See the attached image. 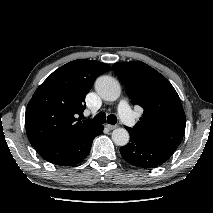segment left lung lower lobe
I'll use <instances>...</instances> for the list:
<instances>
[{"mask_svg":"<svg viewBox=\"0 0 213 213\" xmlns=\"http://www.w3.org/2000/svg\"><path fill=\"white\" fill-rule=\"evenodd\" d=\"M127 130L130 141L120 148V153L127 162L136 167L145 169L158 167L174 153V150L148 143L139 135Z\"/></svg>","mask_w":213,"mask_h":213,"instance_id":"1","label":"left lung lower lobe"}]
</instances>
